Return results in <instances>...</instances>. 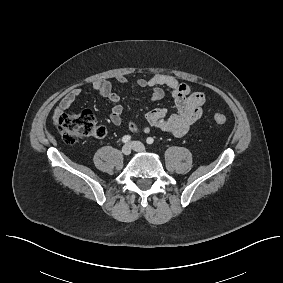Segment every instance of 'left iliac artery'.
Here are the masks:
<instances>
[{"mask_svg": "<svg viewBox=\"0 0 283 283\" xmlns=\"http://www.w3.org/2000/svg\"><path fill=\"white\" fill-rule=\"evenodd\" d=\"M147 144H152L154 142V139L152 137H148L146 139Z\"/></svg>", "mask_w": 283, "mask_h": 283, "instance_id": "44dca946", "label": "left iliac artery"}]
</instances>
